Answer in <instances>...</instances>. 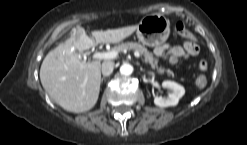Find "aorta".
Returning a JSON list of instances; mask_svg holds the SVG:
<instances>
[{
	"label": "aorta",
	"mask_w": 247,
	"mask_h": 145,
	"mask_svg": "<svg viewBox=\"0 0 247 145\" xmlns=\"http://www.w3.org/2000/svg\"><path fill=\"white\" fill-rule=\"evenodd\" d=\"M132 72H133V67L130 64L125 63L120 67V73L122 75L128 76L131 75Z\"/></svg>",
	"instance_id": "obj_1"
}]
</instances>
